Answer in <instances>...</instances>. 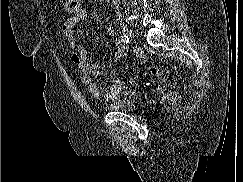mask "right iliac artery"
<instances>
[{"label":"right iliac artery","mask_w":243,"mask_h":182,"mask_svg":"<svg viewBox=\"0 0 243 182\" xmlns=\"http://www.w3.org/2000/svg\"><path fill=\"white\" fill-rule=\"evenodd\" d=\"M120 41H121L123 44H128V43H129V37L126 36V35H122V36H120Z\"/></svg>","instance_id":"obj_1"}]
</instances>
